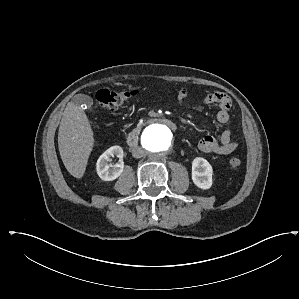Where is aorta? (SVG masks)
Returning <instances> with one entry per match:
<instances>
[{
  "instance_id": "1",
  "label": "aorta",
  "mask_w": 299,
  "mask_h": 299,
  "mask_svg": "<svg viewBox=\"0 0 299 299\" xmlns=\"http://www.w3.org/2000/svg\"><path fill=\"white\" fill-rule=\"evenodd\" d=\"M143 148L152 156L167 152L173 143L171 130L162 124H152L148 126L141 139Z\"/></svg>"
}]
</instances>
